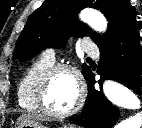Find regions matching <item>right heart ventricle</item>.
Wrapping results in <instances>:
<instances>
[{"instance_id":"right-heart-ventricle-1","label":"right heart ventricle","mask_w":142,"mask_h":128,"mask_svg":"<svg viewBox=\"0 0 142 128\" xmlns=\"http://www.w3.org/2000/svg\"><path fill=\"white\" fill-rule=\"evenodd\" d=\"M54 65V61L45 56L35 60L22 74L17 86V99L20 107L28 111H39L36 92L44 72Z\"/></svg>"}]
</instances>
